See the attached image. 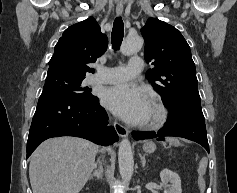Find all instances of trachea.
<instances>
[{"label": "trachea", "instance_id": "trachea-1", "mask_svg": "<svg viewBox=\"0 0 237 193\" xmlns=\"http://www.w3.org/2000/svg\"><path fill=\"white\" fill-rule=\"evenodd\" d=\"M124 36V24L121 17L114 20L113 29L111 33L112 48L117 51L120 48Z\"/></svg>", "mask_w": 237, "mask_h": 193}]
</instances>
